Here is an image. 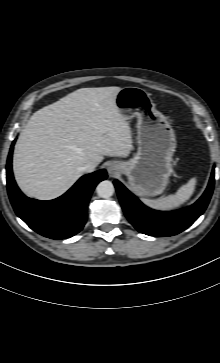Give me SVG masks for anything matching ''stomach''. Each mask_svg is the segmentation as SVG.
Returning <instances> with one entry per match:
<instances>
[{
  "mask_svg": "<svg viewBox=\"0 0 220 363\" xmlns=\"http://www.w3.org/2000/svg\"><path fill=\"white\" fill-rule=\"evenodd\" d=\"M116 107L126 119L137 118L138 150L132 159L115 162L128 176L130 189L138 196L161 194L173 173L172 156L176 149L174 131L150 95L138 87H124L117 93Z\"/></svg>",
  "mask_w": 220,
  "mask_h": 363,
  "instance_id": "obj_1",
  "label": "stomach"
}]
</instances>
